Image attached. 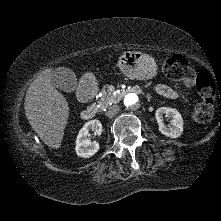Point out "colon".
I'll list each match as a JSON object with an SVG mask.
<instances>
[{
    "label": "colon",
    "instance_id": "obj_1",
    "mask_svg": "<svg viewBox=\"0 0 221 221\" xmlns=\"http://www.w3.org/2000/svg\"><path fill=\"white\" fill-rule=\"evenodd\" d=\"M163 73L169 79L180 81L186 87H194L199 92L201 101L192 112V118L199 123L208 122L214 113L216 87L211 75L201 70L194 72L186 58L180 55L167 59L162 66Z\"/></svg>",
    "mask_w": 221,
    "mask_h": 221
}]
</instances>
